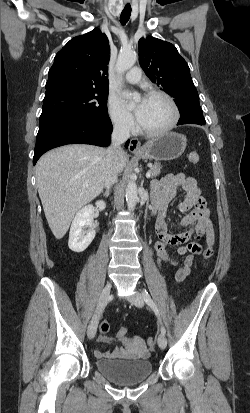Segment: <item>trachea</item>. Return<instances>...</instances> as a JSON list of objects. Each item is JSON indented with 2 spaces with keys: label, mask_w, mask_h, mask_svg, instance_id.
<instances>
[{
  "label": "trachea",
  "mask_w": 250,
  "mask_h": 413,
  "mask_svg": "<svg viewBox=\"0 0 250 413\" xmlns=\"http://www.w3.org/2000/svg\"><path fill=\"white\" fill-rule=\"evenodd\" d=\"M131 16V5L126 4L121 15H120V22L122 25H125Z\"/></svg>",
  "instance_id": "3493384b"
}]
</instances>
